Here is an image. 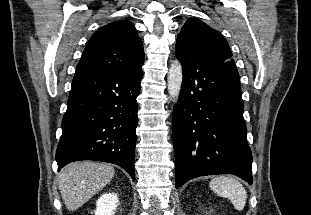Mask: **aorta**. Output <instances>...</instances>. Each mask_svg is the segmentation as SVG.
<instances>
[{
  "mask_svg": "<svg viewBox=\"0 0 311 215\" xmlns=\"http://www.w3.org/2000/svg\"><path fill=\"white\" fill-rule=\"evenodd\" d=\"M183 81L182 65L179 61H174L168 72V92L173 100L178 99Z\"/></svg>",
  "mask_w": 311,
  "mask_h": 215,
  "instance_id": "aorta-1",
  "label": "aorta"
}]
</instances>
